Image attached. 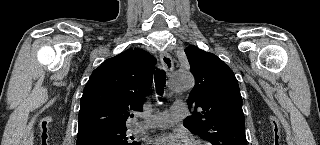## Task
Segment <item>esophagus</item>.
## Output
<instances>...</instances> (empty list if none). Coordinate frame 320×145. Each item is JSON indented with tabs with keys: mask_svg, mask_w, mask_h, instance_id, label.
I'll use <instances>...</instances> for the list:
<instances>
[{
	"mask_svg": "<svg viewBox=\"0 0 320 145\" xmlns=\"http://www.w3.org/2000/svg\"><path fill=\"white\" fill-rule=\"evenodd\" d=\"M160 61L163 65V67L168 70V71H172L174 64H173V60L172 57L169 53L163 51L160 53Z\"/></svg>",
	"mask_w": 320,
	"mask_h": 145,
	"instance_id": "1",
	"label": "esophagus"
}]
</instances>
